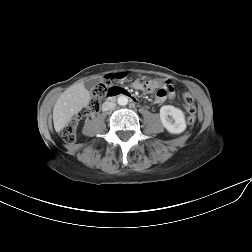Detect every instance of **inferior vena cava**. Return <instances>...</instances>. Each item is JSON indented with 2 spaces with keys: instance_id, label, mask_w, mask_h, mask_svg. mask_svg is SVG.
<instances>
[{
  "instance_id": "1",
  "label": "inferior vena cava",
  "mask_w": 252,
  "mask_h": 252,
  "mask_svg": "<svg viewBox=\"0 0 252 252\" xmlns=\"http://www.w3.org/2000/svg\"><path fill=\"white\" fill-rule=\"evenodd\" d=\"M115 107H116V103L107 101L103 103L102 110L109 111V110L114 109Z\"/></svg>"
}]
</instances>
